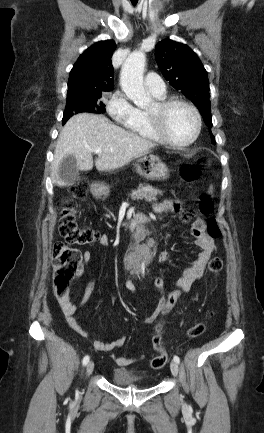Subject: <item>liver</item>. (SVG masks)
<instances>
[{
  "instance_id": "1",
  "label": "liver",
  "mask_w": 264,
  "mask_h": 433,
  "mask_svg": "<svg viewBox=\"0 0 264 433\" xmlns=\"http://www.w3.org/2000/svg\"><path fill=\"white\" fill-rule=\"evenodd\" d=\"M155 146L154 142L126 131L104 116L80 113L71 117L60 132L51 179L58 186L65 185L58 177V169L68 155L75 157L79 170L89 171L93 168L94 149L101 148L102 153L95 160L96 169L111 171L148 154Z\"/></svg>"
}]
</instances>
